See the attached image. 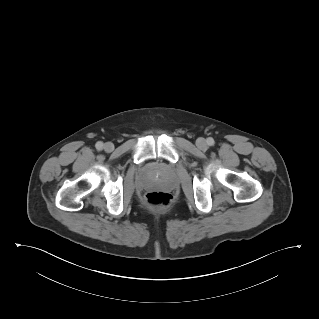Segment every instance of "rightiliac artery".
Instances as JSON below:
<instances>
[{"label":"right iliac artery","instance_id":"1","mask_svg":"<svg viewBox=\"0 0 319 319\" xmlns=\"http://www.w3.org/2000/svg\"><path fill=\"white\" fill-rule=\"evenodd\" d=\"M96 148H97L98 150H101V149L103 148V143H102V142H97V143H96Z\"/></svg>","mask_w":319,"mask_h":319}]
</instances>
